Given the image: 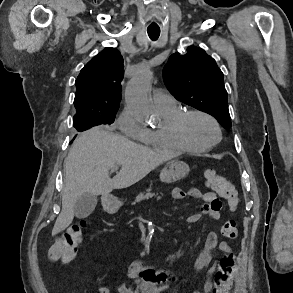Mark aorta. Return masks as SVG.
Wrapping results in <instances>:
<instances>
[{
    "label": "aorta",
    "instance_id": "obj_1",
    "mask_svg": "<svg viewBox=\"0 0 293 293\" xmlns=\"http://www.w3.org/2000/svg\"><path fill=\"white\" fill-rule=\"evenodd\" d=\"M152 73L143 70L135 75L126 87V100L132 113L142 121H151L154 116L149 98Z\"/></svg>",
    "mask_w": 293,
    "mask_h": 293
}]
</instances>
